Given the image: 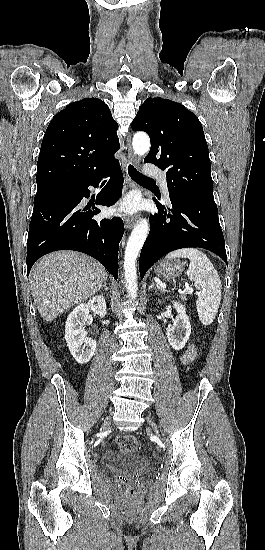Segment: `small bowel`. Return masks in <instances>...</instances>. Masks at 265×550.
I'll return each mask as SVG.
<instances>
[{"instance_id":"c3829d8e","label":"small bowel","mask_w":265,"mask_h":550,"mask_svg":"<svg viewBox=\"0 0 265 550\" xmlns=\"http://www.w3.org/2000/svg\"><path fill=\"white\" fill-rule=\"evenodd\" d=\"M196 357V349L192 343H189L180 357V361L184 365H188L194 361Z\"/></svg>"}]
</instances>
